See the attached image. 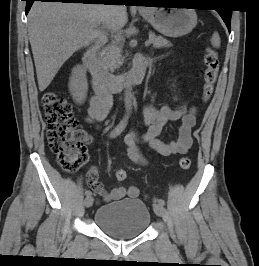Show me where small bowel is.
Wrapping results in <instances>:
<instances>
[{
    "instance_id": "1",
    "label": "small bowel",
    "mask_w": 259,
    "mask_h": 266,
    "mask_svg": "<svg viewBox=\"0 0 259 266\" xmlns=\"http://www.w3.org/2000/svg\"><path fill=\"white\" fill-rule=\"evenodd\" d=\"M112 107V98L106 91L94 87V95L91 97L86 121L99 124L108 115ZM197 109L182 102L175 108L167 104L160 107L146 105L143 108L141 124L148 127L147 132L138 136L133 130L126 136L129 157L138 164H145L146 159L139 151L138 144L146 143L153 151L169 156L174 154H185L192 145V129L196 124ZM180 120L178 138L169 143H164L159 139L166 124L170 121ZM87 184L96 193L102 196L105 202L117 201L124 197L136 198L139 189L135 185L128 187H117L110 191H105L98 180V171L92 167L87 173Z\"/></svg>"
}]
</instances>
